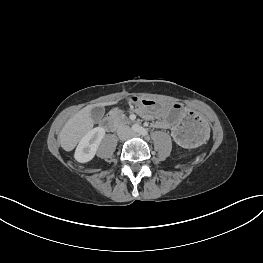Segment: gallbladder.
I'll use <instances>...</instances> for the list:
<instances>
[{
  "mask_svg": "<svg viewBox=\"0 0 263 263\" xmlns=\"http://www.w3.org/2000/svg\"><path fill=\"white\" fill-rule=\"evenodd\" d=\"M105 113V110L101 106H96L91 110V116L94 120V122L98 123L101 121Z\"/></svg>",
  "mask_w": 263,
  "mask_h": 263,
  "instance_id": "1",
  "label": "gallbladder"
}]
</instances>
